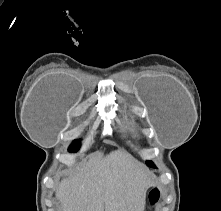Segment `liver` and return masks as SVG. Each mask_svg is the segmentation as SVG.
<instances>
[{"mask_svg":"<svg viewBox=\"0 0 221 211\" xmlns=\"http://www.w3.org/2000/svg\"><path fill=\"white\" fill-rule=\"evenodd\" d=\"M151 175L127 153L98 152L61 181L56 198L62 211H143Z\"/></svg>","mask_w":221,"mask_h":211,"instance_id":"liver-1","label":"liver"}]
</instances>
